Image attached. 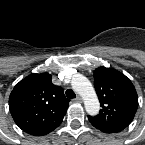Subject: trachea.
Wrapping results in <instances>:
<instances>
[{
	"mask_svg": "<svg viewBox=\"0 0 145 145\" xmlns=\"http://www.w3.org/2000/svg\"><path fill=\"white\" fill-rule=\"evenodd\" d=\"M66 96H67L69 99H73V98L76 97V94L74 93L73 90L67 89V90H66Z\"/></svg>",
	"mask_w": 145,
	"mask_h": 145,
	"instance_id": "trachea-1",
	"label": "trachea"
}]
</instances>
